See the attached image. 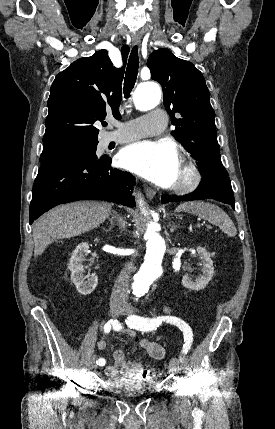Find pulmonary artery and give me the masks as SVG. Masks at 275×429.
<instances>
[{"instance_id":"obj_1","label":"pulmonary artery","mask_w":275,"mask_h":429,"mask_svg":"<svg viewBox=\"0 0 275 429\" xmlns=\"http://www.w3.org/2000/svg\"><path fill=\"white\" fill-rule=\"evenodd\" d=\"M166 123V114L154 110L145 116L121 123L119 130L106 136V143H124L161 133Z\"/></svg>"}]
</instances>
